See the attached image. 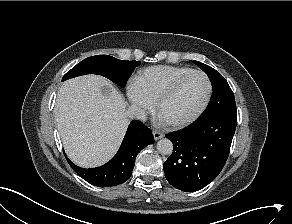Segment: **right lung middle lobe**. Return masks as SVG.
<instances>
[{
    "label": "right lung middle lobe",
    "instance_id": "obj_1",
    "mask_svg": "<svg viewBox=\"0 0 292 224\" xmlns=\"http://www.w3.org/2000/svg\"><path fill=\"white\" fill-rule=\"evenodd\" d=\"M140 64V61H122L109 55L92 56L84 59L69 70L62 81L85 74H99L123 87L135 67Z\"/></svg>",
    "mask_w": 292,
    "mask_h": 224
}]
</instances>
